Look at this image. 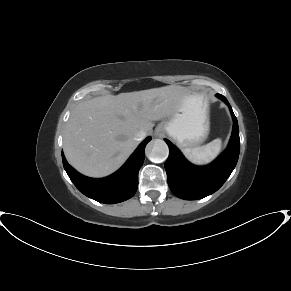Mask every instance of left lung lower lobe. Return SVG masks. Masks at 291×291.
Returning <instances> with one entry per match:
<instances>
[{
  "label": "left lung lower lobe",
  "mask_w": 291,
  "mask_h": 291,
  "mask_svg": "<svg viewBox=\"0 0 291 291\" xmlns=\"http://www.w3.org/2000/svg\"><path fill=\"white\" fill-rule=\"evenodd\" d=\"M222 99L230 109L233 118V131L227 149L211 164L195 166L189 163L182 153L167 139L169 156L165 162L168 185L172 193L185 200H197L217 191L227 180L236 166L240 151L237 119L227 99Z\"/></svg>",
  "instance_id": "left-lung-lower-lobe-1"
}]
</instances>
